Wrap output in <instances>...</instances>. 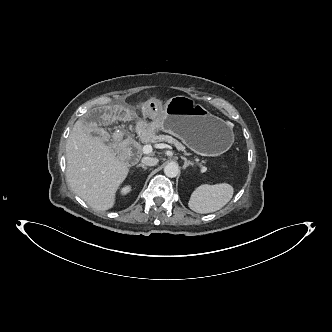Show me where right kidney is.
<instances>
[{"label": "right kidney", "instance_id": "right-kidney-1", "mask_svg": "<svg viewBox=\"0 0 332 332\" xmlns=\"http://www.w3.org/2000/svg\"><path fill=\"white\" fill-rule=\"evenodd\" d=\"M129 191H130V187H129V186L123 188V190H122V192H123L124 194L128 193Z\"/></svg>", "mask_w": 332, "mask_h": 332}]
</instances>
